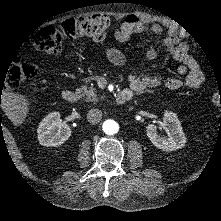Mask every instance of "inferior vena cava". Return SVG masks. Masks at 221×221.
<instances>
[{
	"instance_id": "inferior-vena-cava-1",
	"label": "inferior vena cava",
	"mask_w": 221,
	"mask_h": 221,
	"mask_svg": "<svg viewBox=\"0 0 221 221\" xmlns=\"http://www.w3.org/2000/svg\"><path fill=\"white\" fill-rule=\"evenodd\" d=\"M103 117V113L100 109H91L87 114V120L90 124H98Z\"/></svg>"
}]
</instances>
